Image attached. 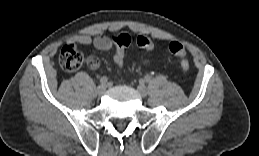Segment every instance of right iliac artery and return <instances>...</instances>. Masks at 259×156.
<instances>
[{"mask_svg":"<svg viewBox=\"0 0 259 156\" xmlns=\"http://www.w3.org/2000/svg\"><path fill=\"white\" fill-rule=\"evenodd\" d=\"M107 81H108V78L106 76H103V77L100 78L101 84H105V83H107Z\"/></svg>","mask_w":259,"mask_h":156,"instance_id":"1","label":"right iliac artery"}]
</instances>
